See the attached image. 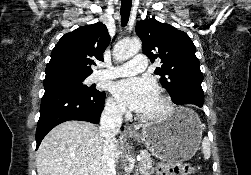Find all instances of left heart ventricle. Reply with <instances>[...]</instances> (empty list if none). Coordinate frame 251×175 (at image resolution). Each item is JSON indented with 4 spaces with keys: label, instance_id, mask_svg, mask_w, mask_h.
Masks as SVG:
<instances>
[{
    "label": "left heart ventricle",
    "instance_id": "1",
    "mask_svg": "<svg viewBox=\"0 0 251 175\" xmlns=\"http://www.w3.org/2000/svg\"><path fill=\"white\" fill-rule=\"evenodd\" d=\"M160 108V103H159V100L158 102L156 103V105L154 106V108L151 110V112H149V114L151 113H155L156 111H158Z\"/></svg>",
    "mask_w": 251,
    "mask_h": 175
}]
</instances>
